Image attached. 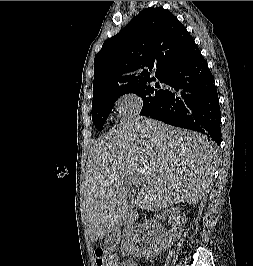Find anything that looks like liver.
<instances>
[{
	"instance_id": "6515ba94",
	"label": "liver",
	"mask_w": 253,
	"mask_h": 266,
	"mask_svg": "<svg viewBox=\"0 0 253 266\" xmlns=\"http://www.w3.org/2000/svg\"><path fill=\"white\" fill-rule=\"evenodd\" d=\"M215 146L206 136L159 121L133 118L90 149L84 182L85 225L94 243L128 215V179L141 181L135 204L159 211L195 205L209 186Z\"/></svg>"
}]
</instances>
